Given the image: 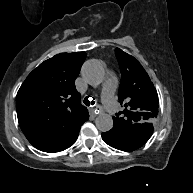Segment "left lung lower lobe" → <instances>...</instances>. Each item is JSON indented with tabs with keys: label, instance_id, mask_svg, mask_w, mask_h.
Returning a JSON list of instances; mask_svg holds the SVG:
<instances>
[{
	"label": "left lung lower lobe",
	"instance_id": "1",
	"mask_svg": "<svg viewBox=\"0 0 193 193\" xmlns=\"http://www.w3.org/2000/svg\"><path fill=\"white\" fill-rule=\"evenodd\" d=\"M153 133V125L133 127V125H114L108 131L102 133V138L111 147L123 151H133L143 146Z\"/></svg>",
	"mask_w": 193,
	"mask_h": 193
}]
</instances>
